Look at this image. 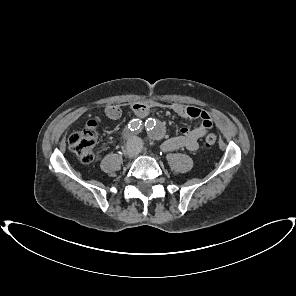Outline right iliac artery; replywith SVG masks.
I'll use <instances>...</instances> for the list:
<instances>
[{"instance_id": "82829eb1", "label": "right iliac artery", "mask_w": 296, "mask_h": 296, "mask_svg": "<svg viewBox=\"0 0 296 296\" xmlns=\"http://www.w3.org/2000/svg\"><path fill=\"white\" fill-rule=\"evenodd\" d=\"M141 125L142 124H141V121H139V119H133L128 124V130H130V131H138L139 128L141 127ZM128 130L127 129L124 130V136L128 132Z\"/></svg>"}]
</instances>
